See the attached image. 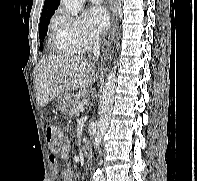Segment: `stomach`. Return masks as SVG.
I'll list each match as a JSON object with an SVG mask.
<instances>
[{"instance_id":"obj_1","label":"stomach","mask_w":197,"mask_h":181,"mask_svg":"<svg viewBox=\"0 0 197 181\" xmlns=\"http://www.w3.org/2000/svg\"><path fill=\"white\" fill-rule=\"evenodd\" d=\"M72 103H73V97L70 93L64 92L59 96L58 99L59 110L62 113H69Z\"/></svg>"}]
</instances>
